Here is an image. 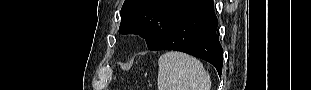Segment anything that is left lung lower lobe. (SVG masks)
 I'll return each mask as SVG.
<instances>
[{"instance_id":"0a47b994","label":"left lung lower lobe","mask_w":311,"mask_h":90,"mask_svg":"<svg viewBox=\"0 0 311 90\" xmlns=\"http://www.w3.org/2000/svg\"><path fill=\"white\" fill-rule=\"evenodd\" d=\"M217 26L213 0H202L180 16L151 50L188 53L211 63L221 76L223 50L216 34Z\"/></svg>"}]
</instances>
